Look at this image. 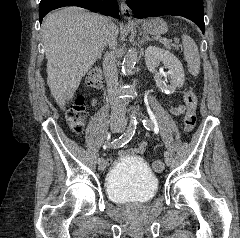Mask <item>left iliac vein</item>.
Here are the masks:
<instances>
[{
    "mask_svg": "<svg viewBox=\"0 0 240 238\" xmlns=\"http://www.w3.org/2000/svg\"><path fill=\"white\" fill-rule=\"evenodd\" d=\"M165 164H166L167 166H170V165H171V160H170L169 157H166V158H165Z\"/></svg>",
    "mask_w": 240,
    "mask_h": 238,
    "instance_id": "left-iliac-vein-1",
    "label": "left iliac vein"
}]
</instances>
